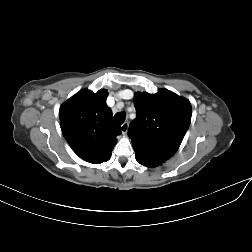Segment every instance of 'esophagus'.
Returning a JSON list of instances; mask_svg holds the SVG:
<instances>
[{
  "instance_id": "34e87169",
  "label": "esophagus",
  "mask_w": 252,
  "mask_h": 252,
  "mask_svg": "<svg viewBox=\"0 0 252 252\" xmlns=\"http://www.w3.org/2000/svg\"><path fill=\"white\" fill-rule=\"evenodd\" d=\"M128 127H129L128 122H124V123L121 125V132H122L123 134H126L127 131H128Z\"/></svg>"
}]
</instances>
